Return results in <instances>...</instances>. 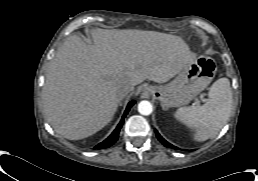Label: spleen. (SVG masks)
Segmentation results:
<instances>
[{
  "label": "spleen",
  "instance_id": "obj_1",
  "mask_svg": "<svg viewBox=\"0 0 258 181\" xmlns=\"http://www.w3.org/2000/svg\"><path fill=\"white\" fill-rule=\"evenodd\" d=\"M232 109V90L227 78H220L210 87L208 99L202 106L181 107L174 117L194 129V139L214 138L226 124Z\"/></svg>",
  "mask_w": 258,
  "mask_h": 181
}]
</instances>
